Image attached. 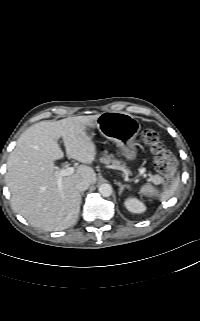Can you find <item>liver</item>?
<instances>
[{
  "label": "liver",
  "mask_w": 200,
  "mask_h": 321,
  "mask_svg": "<svg viewBox=\"0 0 200 321\" xmlns=\"http://www.w3.org/2000/svg\"><path fill=\"white\" fill-rule=\"evenodd\" d=\"M98 116L41 121L18 138L8 157L5 179L13 209L32 226L58 231L77 222L81 197L76 182L87 179L95 184L97 181L96 173L86 164H91L97 154L87 126ZM59 138L63 139L67 156L83 163L74 174L62 178L61 187L54 171V162L64 156Z\"/></svg>",
  "instance_id": "liver-1"
}]
</instances>
